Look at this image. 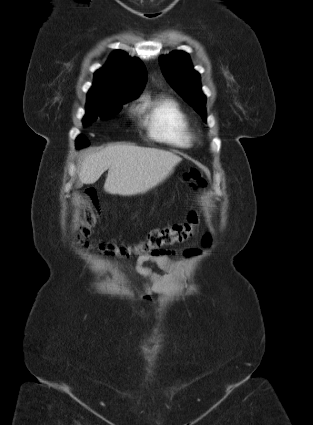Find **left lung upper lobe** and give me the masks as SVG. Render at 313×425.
Instances as JSON below:
<instances>
[{
    "label": "left lung upper lobe",
    "mask_w": 313,
    "mask_h": 425,
    "mask_svg": "<svg viewBox=\"0 0 313 425\" xmlns=\"http://www.w3.org/2000/svg\"><path fill=\"white\" fill-rule=\"evenodd\" d=\"M159 62L168 83L205 121L206 97L201 91L200 75L193 69L188 54L174 51L161 56Z\"/></svg>",
    "instance_id": "left-lung-upper-lobe-1"
}]
</instances>
